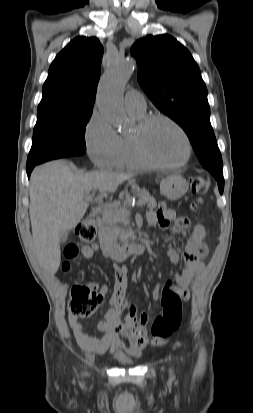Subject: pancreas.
Wrapping results in <instances>:
<instances>
[{"label": "pancreas", "mask_w": 253, "mask_h": 413, "mask_svg": "<svg viewBox=\"0 0 253 413\" xmlns=\"http://www.w3.org/2000/svg\"><path fill=\"white\" fill-rule=\"evenodd\" d=\"M137 197L138 204L141 206L147 204L148 208H156L155 199L146 190H136L134 195ZM130 211L126 208V204L122 206H116L110 211L103 214V220L106 226H111L114 228V232L119 235L120 241L126 243L129 238H133L131 232L123 230L118 224L128 225L129 224Z\"/></svg>", "instance_id": "pancreas-1"}]
</instances>
